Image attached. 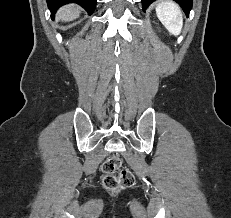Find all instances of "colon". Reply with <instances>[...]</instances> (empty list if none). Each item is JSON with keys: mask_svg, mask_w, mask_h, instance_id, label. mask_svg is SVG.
<instances>
[{"mask_svg": "<svg viewBox=\"0 0 231 218\" xmlns=\"http://www.w3.org/2000/svg\"><path fill=\"white\" fill-rule=\"evenodd\" d=\"M122 161L118 156L108 157L102 164V183L108 190L131 187L135 182L133 173L128 168H121Z\"/></svg>", "mask_w": 231, "mask_h": 218, "instance_id": "1", "label": "colon"}]
</instances>
